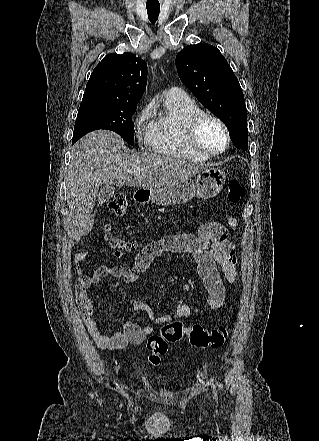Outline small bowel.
Returning a JSON list of instances; mask_svg holds the SVG:
<instances>
[{
    "instance_id": "1",
    "label": "small bowel",
    "mask_w": 319,
    "mask_h": 441,
    "mask_svg": "<svg viewBox=\"0 0 319 441\" xmlns=\"http://www.w3.org/2000/svg\"><path fill=\"white\" fill-rule=\"evenodd\" d=\"M227 221L228 227L220 223L209 222L200 227L198 235L178 234L154 242L141 250L133 266H101L93 274H88L83 268L87 254L78 253L76 255L78 274L76 305L96 345L101 349L109 350L122 349L128 344L140 345L148 335L154 332L153 327L149 325H138L132 321H126L122 331L114 330L110 334L104 333L98 323V309L89 294V289L97 286L105 277L113 279L111 286L135 282L139 274L146 271L152 261L163 251L193 255L197 272L208 292V308L210 311L218 310L226 299V289L221 273L230 283L235 282L237 277L236 250L229 240V228L234 229L237 221L232 215L227 217ZM191 288L189 283L182 285L184 291L188 292ZM132 306L135 311L145 312L155 323H166L172 320V316L168 314L155 316L153 310L142 301L135 300ZM197 312H199L198 308L180 301L174 317L176 319L188 318Z\"/></svg>"
}]
</instances>
